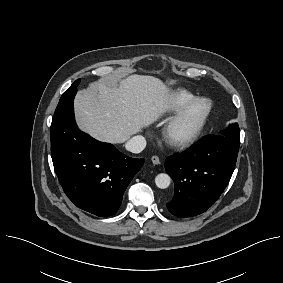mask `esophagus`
I'll return each instance as SVG.
<instances>
[{
  "instance_id": "obj_1",
  "label": "esophagus",
  "mask_w": 283,
  "mask_h": 283,
  "mask_svg": "<svg viewBox=\"0 0 283 283\" xmlns=\"http://www.w3.org/2000/svg\"><path fill=\"white\" fill-rule=\"evenodd\" d=\"M151 161L154 165H158L160 163V159L158 156H152Z\"/></svg>"
}]
</instances>
